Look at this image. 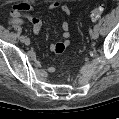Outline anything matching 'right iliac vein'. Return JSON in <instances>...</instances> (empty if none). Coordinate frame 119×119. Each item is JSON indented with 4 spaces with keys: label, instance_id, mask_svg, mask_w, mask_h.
Here are the masks:
<instances>
[{
    "label": "right iliac vein",
    "instance_id": "63e3f726",
    "mask_svg": "<svg viewBox=\"0 0 119 119\" xmlns=\"http://www.w3.org/2000/svg\"><path fill=\"white\" fill-rule=\"evenodd\" d=\"M25 45H29L30 44V40L28 38H25L23 41H22Z\"/></svg>",
    "mask_w": 119,
    "mask_h": 119
}]
</instances>
